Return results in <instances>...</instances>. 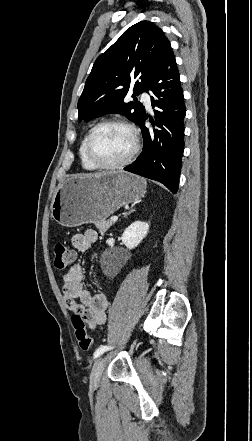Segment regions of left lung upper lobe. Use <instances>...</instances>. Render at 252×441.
I'll return each mask as SVG.
<instances>
[{
    "mask_svg": "<svg viewBox=\"0 0 252 441\" xmlns=\"http://www.w3.org/2000/svg\"><path fill=\"white\" fill-rule=\"evenodd\" d=\"M168 41L163 31L149 21L128 28L95 61L78 101V119L90 121L108 113H120L140 125L145 108L137 99L124 103L130 89L132 97L147 91L158 56Z\"/></svg>",
    "mask_w": 252,
    "mask_h": 441,
    "instance_id": "1",
    "label": "left lung upper lobe"
}]
</instances>
